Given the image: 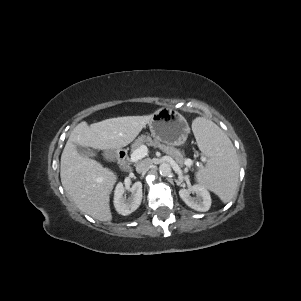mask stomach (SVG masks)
Segmentation results:
<instances>
[{"label":"stomach","instance_id":"stomach-1","mask_svg":"<svg viewBox=\"0 0 301 301\" xmlns=\"http://www.w3.org/2000/svg\"><path fill=\"white\" fill-rule=\"evenodd\" d=\"M151 135L159 142L170 146L183 145L190 133L186 119L177 111L161 108L152 114L148 123Z\"/></svg>","mask_w":301,"mask_h":301}]
</instances>
